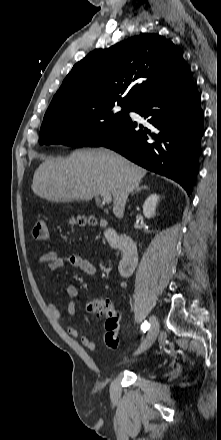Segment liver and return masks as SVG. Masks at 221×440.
I'll return each mask as SVG.
<instances>
[{"mask_svg":"<svg viewBox=\"0 0 221 440\" xmlns=\"http://www.w3.org/2000/svg\"><path fill=\"white\" fill-rule=\"evenodd\" d=\"M146 173L107 149L76 150L67 159H46L35 171L31 188L52 202L89 201L108 192L113 196V212L121 219L129 193Z\"/></svg>","mask_w":221,"mask_h":440,"instance_id":"liver-1","label":"liver"}]
</instances>
